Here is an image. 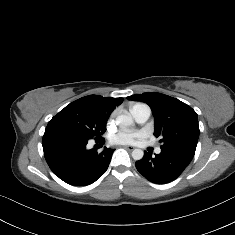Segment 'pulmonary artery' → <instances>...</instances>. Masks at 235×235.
<instances>
[{
	"instance_id": "pulmonary-artery-1",
	"label": "pulmonary artery",
	"mask_w": 235,
	"mask_h": 235,
	"mask_svg": "<svg viewBox=\"0 0 235 235\" xmlns=\"http://www.w3.org/2000/svg\"><path fill=\"white\" fill-rule=\"evenodd\" d=\"M131 112L135 121L139 124L145 123L151 115V109L147 104H136L131 108ZM160 151V148L156 149L157 153H160Z\"/></svg>"
}]
</instances>
